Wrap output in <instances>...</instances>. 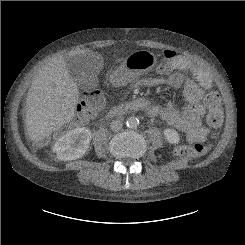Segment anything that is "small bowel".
Wrapping results in <instances>:
<instances>
[{"mask_svg": "<svg viewBox=\"0 0 245 245\" xmlns=\"http://www.w3.org/2000/svg\"><path fill=\"white\" fill-rule=\"evenodd\" d=\"M173 51H165L164 58L166 65L163 72L167 75L165 78H150L143 80L144 83L151 85L164 84L171 88H179L183 85L184 97L187 101L186 106L182 110H178L171 101L164 106H154L146 110L150 116H159L169 125L184 132L190 142L204 140L208 137V127L200 121L201 117L207 112L211 114V110L202 104L205 92H209L213 88L211 75L200 65L195 64L184 55L175 53L172 57H168V53ZM189 72L193 80L185 82L182 72ZM218 110L221 112L220 108Z\"/></svg>", "mask_w": 245, "mask_h": 245, "instance_id": "c3829d8e", "label": "small bowel"}]
</instances>
